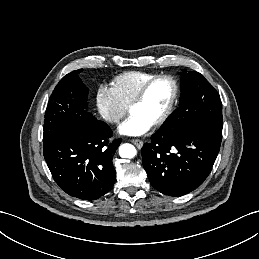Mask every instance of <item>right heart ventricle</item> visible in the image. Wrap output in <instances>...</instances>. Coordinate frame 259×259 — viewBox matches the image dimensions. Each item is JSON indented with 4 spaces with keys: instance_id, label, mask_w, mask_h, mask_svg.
I'll use <instances>...</instances> for the list:
<instances>
[{
    "instance_id": "e07e8e85",
    "label": "right heart ventricle",
    "mask_w": 259,
    "mask_h": 259,
    "mask_svg": "<svg viewBox=\"0 0 259 259\" xmlns=\"http://www.w3.org/2000/svg\"><path fill=\"white\" fill-rule=\"evenodd\" d=\"M154 76V73L149 72L127 71L113 79L112 89L126 105H129L142 85Z\"/></svg>"
}]
</instances>
